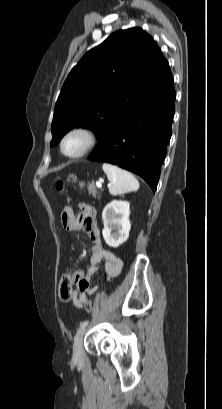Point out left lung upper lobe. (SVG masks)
Returning <instances> with one entry per match:
<instances>
[{
  "instance_id": "obj_1",
  "label": "left lung upper lobe",
  "mask_w": 222,
  "mask_h": 409,
  "mask_svg": "<svg viewBox=\"0 0 222 409\" xmlns=\"http://www.w3.org/2000/svg\"><path fill=\"white\" fill-rule=\"evenodd\" d=\"M170 73L160 48L144 30L114 32L68 75L55 105L50 145L79 126L91 128L99 138L128 103Z\"/></svg>"
}]
</instances>
